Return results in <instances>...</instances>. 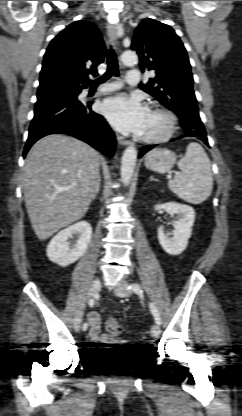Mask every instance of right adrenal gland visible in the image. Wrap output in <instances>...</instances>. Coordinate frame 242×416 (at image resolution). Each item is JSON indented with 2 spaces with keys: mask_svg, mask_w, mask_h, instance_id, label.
<instances>
[{
  "mask_svg": "<svg viewBox=\"0 0 242 416\" xmlns=\"http://www.w3.org/2000/svg\"><path fill=\"white\" fill-rule=\"evenodd\" d=\"M100 185H101V178L99 177L98 183H97L96 188H95V192L93 194V199H95L97 197V195L100 191Z\"/></svg>",
  "mask_w": 242,
  "mask_h": 416,
  "instance_id": "1",
  "label": "right adrenal gland"
}]
</instances>
